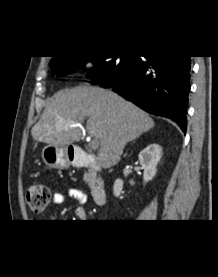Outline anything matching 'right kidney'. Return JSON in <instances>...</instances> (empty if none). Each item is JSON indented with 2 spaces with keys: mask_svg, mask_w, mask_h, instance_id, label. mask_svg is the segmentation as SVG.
Listing matches in <instances>:
<instances>
[{
  "mask_svg": "<svg viewBox=\"0 0 218 277\" xmlns=\"http://www.w3.org/2000/svg\"><path fill=\"white\" fill-rule=\"evenodd\" d=\"M162 148L158 144H150L139 153L140 165L144 169L143 180L144 183L152 180L156 174V166L161 158ZM123 181L116 179L113 185V193L118 197L122 193Z\"/></svg>",
  "mask_w": 218,
  "mask_h": 277,
  "instance_id": "right-kidney-1",
  "label": "right kidney"
}]
</instances>
